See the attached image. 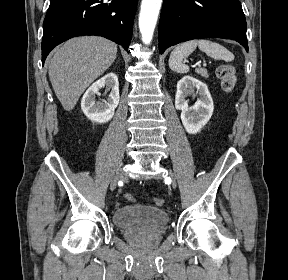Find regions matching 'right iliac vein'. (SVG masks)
<instances>
[{"label": "right iliac vein", "mask_w": 288, "mask_h": 280, "mask_svg": "<svg viewBox=\"0 0 288 280\" xmlns=\"http://www.w3.org/2000/svg\"><path fill=\"white\" fill-rule=\"evenodd\" d=\"M124 178H125L124 171L122 170L118 171L111 181V185H110L111 190H114L117 187L118 182L120 180H123Z\"/></svg>", "instance_id": "1"}]
</instances>
